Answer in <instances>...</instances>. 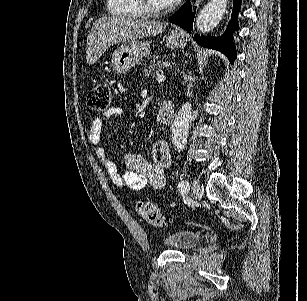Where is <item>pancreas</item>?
I'll use <instances>...</instances> for the list:
<instances>
[{"label": "pancreas", "mask_w": 307, "mask_h": 301, "mask_svg": "<svg viewBox=\"0 0 307 301\" xmlns=\"http://www.w3.org/2000/svg\"><path fill=\"white\" fill-rule=\"evenodd\" d=\"M164 66L165 64L161 60H153L147 68H144L145 76H156V74H160Z\"/></svg>", "instance_id": "pancreas-1"}]
</instances>
